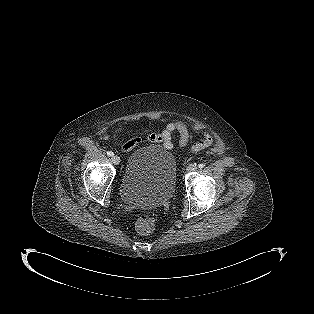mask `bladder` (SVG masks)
Masks as SVG:
<instances>
[{"label":"bladder","instance_id":"obj_1","mask_svg":"<svg viewBox=\"0 0 314 314\" xmlns=\"http://www.w3.org/2000/svg\"><path fill=\"white\" fill-rule=\"evenodd\" d=\"M177 163L174 155L158 146L134 151L120 185L123 202L136 208H157L176 189Z\"/></svg>","mask_w":314,"mask_h":314}]
</instances>
